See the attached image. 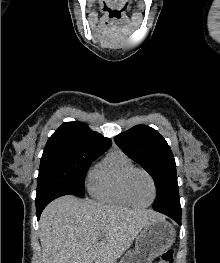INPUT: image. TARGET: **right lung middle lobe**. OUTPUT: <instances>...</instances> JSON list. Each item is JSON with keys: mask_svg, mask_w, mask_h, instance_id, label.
Returning a JSON list of instances; mask_svg holds the SVG:
<instances>
[{"mask_svg": "<svg viewBox=\"0 0 220 263\" xmlns=\"http://www.w3.org/2000/svg\"><path fill=\"white\" fill-rule=\"evenodd\" d=\"M100 155L71 150L44 151L37 179L36 200L53 193L84 195L86 172Z\"/></svg>", "mask_w": 220, "mask_h": 263, "instance_id": "dd1d6c3e", "label": "right lung middle lobe"}]
</instances>
